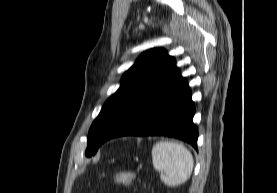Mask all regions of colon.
Instances as JSON below:
<instances>
[{
	"instance_id": "obj_1",
	"label": "colon",
	"mask_w": 277,
	"mask_h": 193,
	"mask_svg": "<svg viewBox=\"0 0 277 193\" xmlns=\"http://www.w3.org/2000/svg\"><path fill=\"white\" fill-rule=\"evenodd\" d=\"M137 176L131 171H118L111 175V181L115 184L132 186L136 183Z\"/></svg>"
}]
</instances>
